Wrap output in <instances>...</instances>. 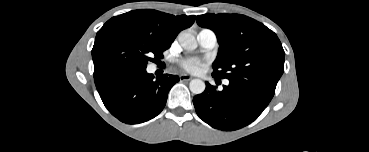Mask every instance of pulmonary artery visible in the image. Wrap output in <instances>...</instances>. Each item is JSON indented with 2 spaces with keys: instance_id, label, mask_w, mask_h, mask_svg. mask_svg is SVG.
<instances>
[{
  "instance_id": "1",
  "label": "pulmonary artery",
  "mask_w": 369,
  "mask_h": 152,
  "mask_svg": "<svg viewBox=\"0 0 369 152\" xmlns=\"http://www.w3.org/2000/svg\"><path fill=\"white\" fill-rule=\"evenodd\" d=\"M199 45L205 50H211L216 46L217 36L214 31L208 28L201 29L197 34ZM228 81H226V84Z\"/></svg>"
}]
</instances>
